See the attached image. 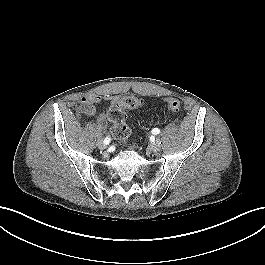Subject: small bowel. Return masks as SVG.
Here are the masks:
<instances>
[{
	"mask_svg": "<svg viewBox=\"0 0 265 265\" xmlns=\"http://www.w3.org/2000/svg\"><path fill=\"white\" fill-rule=\"evenodd\" d=\"M102 100L98 94H87L80 99V110L84 111L87 115L95 116L98 126L105 127L107 119L105 113H96L95 105ZM110 102L116 101L115 97L108 98Z\"/></svg>",
	"mask_w": 265,
	"mask_h": 265,
	"instance_id": "small-bowel-1",
	"label": "small bowel"
}]
</instances>
